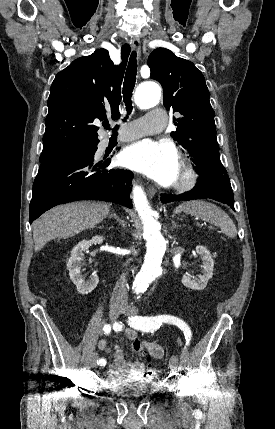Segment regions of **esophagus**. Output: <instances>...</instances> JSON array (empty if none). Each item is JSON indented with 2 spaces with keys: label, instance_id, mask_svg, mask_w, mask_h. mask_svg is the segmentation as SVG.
Listing matches in <instances>:
<instances>
[{
  "label": "esophagus",
  "instance_id": "esophagus-1",
  "mask_svg": "<svg viewBox=\"0 0 275 429\" xmlns=\"http://www.w3.org/2000/svg\"><path fill=\"white\" fill-rule=\"evenodd\" d=\"M131 44L133 49L137 52L138 56H140V52H141V41L139 37H133L131 39ZM148 195L150 197H153L156 194V189L153 186H149L147 189Z\"/></svg>",
  "mask_w": 275,
  "mask_h": 429
}]
</instances>
